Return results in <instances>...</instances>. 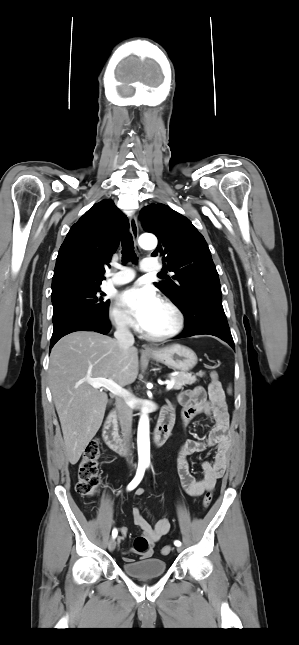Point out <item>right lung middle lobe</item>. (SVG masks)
<instances>
[{
	"label": "right lung middle lobe",
	"instance_id": "1",
	"mask_svg": "<svg viewBox=\"0 0 299 645\" xmlns=\"http://www.w3.org/2000/svg\"><path fill=\"white\" fill-rule=\"evenodd\" d=\"M99 286H74L52 294L53 331L78 318H106L109 301L104 302Z\"/></svg>",
	"mask_w": 299,
	"mask_h": 645
}]
</instances>
